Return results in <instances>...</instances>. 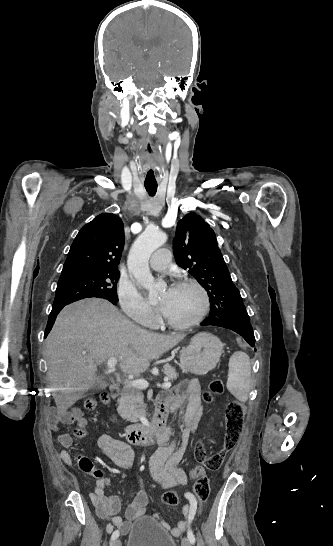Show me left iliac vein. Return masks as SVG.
<instances>
[{"label":"left iliac vein","instance_id":"1","mask_svg":"<svg viewBox=\"0 0 333 546\" xmlns=\"http://www.w3.org/2000/svg\"><path fill=\"white\" fill-rule=\"evenodd\" d=\"M182 546H191V542L188 538H183L182 539Z\"/></svg>","mask_w":333,"mask_h":546}]
</instances>
